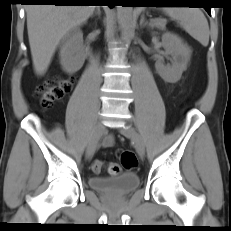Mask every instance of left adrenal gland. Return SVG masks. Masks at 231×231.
Segmentation results:
<instances>
[{"label":"left adrenal gland","instance_id":"a2214340","mask_svg":"<svg viewBox=\"0 0 231 231\" xmlns=\"http://www.w3.org/2000/svg\"><path fill=\"white\" fill-rule=\"evenodd\" d=\"M151 26L150 23H148V21L145 20L144 14L141 16V20H140V27H144V26Z\"/></svg>","mask_w":231,"mask_h":231}]
</instances>
